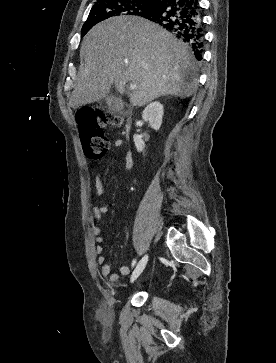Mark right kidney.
<instances>
[{"instance_id": "ca27d5eb", "label": "right kidney", "mask_w": 276, "mask_h": 363, "mask_svg": "<svg viewBox=\"0 0 276 363\" xmlns=\"http://www.w3.org/2000/svg\"><path fill=\"white\" fill-rule=\"evenodd\" d=\"M163 114V105L160 102L155 101L147 105V107L142 112V118L144 121H148L151 128L157 131L161 127ZM133 140L137 151L142 152L145 147L142 137L135 134L133 136Z\"/></svg>"}]
</instances>
